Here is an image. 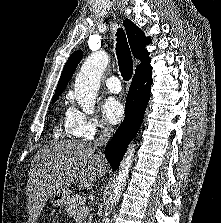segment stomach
<instances>
[{"mask_svg":"<svg viewBox=\"0 0 221 223\" xmlns=\"http://www.w3.org/2000/svg\"><path fill=\"white\" fill-rule=\"evenodd\" d=\"M72 197V193L68 188L62 189L49 197V201L55 207H63Z\"/></svg>","mask_w":221,"mask_h":223,"instance_id":"obj_1","label":"stomach"}]
</instances>
